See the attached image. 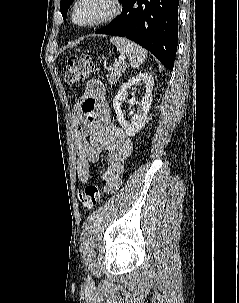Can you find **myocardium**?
<instances>
[{"label":"myocardium","mask_w":239,"mask_h":303,"mask_svg":"<svg viewBox=\"0 0 239 303\" xmlns=\"http://www.w3.org/2000/svg\"><path fill=\"white\" fill-rule=\"evenodd\" d=\"M81 1L82 0H75V2L73 3L72 10H71V18H72V21L77 26L83 27V28H91L94 26L109 23V22L115 20L123 11V4H122L121 0H109L112 5V8L107 14H105L102 17L95 19L93 21H90L87 23H80L76 19V11H77V7Z\"/></svg>","instance_id":"1"}]
</instances>
